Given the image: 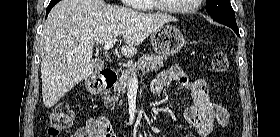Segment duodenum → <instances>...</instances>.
<instances>
[{
	"mask_svg": "<svg viewBox=\"0 0 280 137\" xmlns=\"http://www.w3.org/2000/svg\"><path fill=\"white\" fill-rule=\"evenodd\" d=\"M118 81V75L115 71H107L105 72L99 79L98 81V90L99 91H104V90H109L113 86L117 84Z\"/></svg>",
	"mask_w": 280,
	"mask_h": 137,
	"instance_id": "duodenum-1",
	"label": "duodenum"
}]
</instances>
